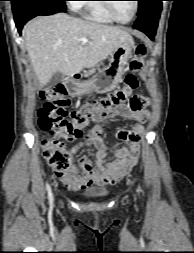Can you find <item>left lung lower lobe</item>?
<instances>
[{
  "mask_svg": "<svg viewBox=\"0 0 194 253\" xmlns=\"http://www.w3.org/2000/svg\"><path fill=\"white\" fill-rule=\"evenodd\" d=\"M163 0H155L147 4V6L138 14L134 27L154 38L159 22Z\"/></svg>",
  "mask_w": 194,
  "mask_h": 253,
  "instance_id": "left-lung-lower-lobe-1",
  "label": "left lung lower lobe"
}]
</instances>
